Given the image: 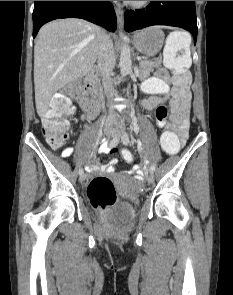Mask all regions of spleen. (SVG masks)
Listing matches in <instances>:
<instances>
[{
	"instance_id": "1",
	"label": "spleen",
	"mask_w": 233,
	"mask_h": 295,
	"mask_svg": "<svg viewBox=\"0 0 233 295\" xmlns=\"http://www.w3.org/2000/svg\"><path fill=\"white\" fill-rule=\"evenodd\" d=\"M191 38L182 31H174L169 34L163 51L166 65L182 71L183 67H188L192 63L190 52ZM184 50L182 56L176 57L177 52Z\"/></svg>"
}]
</instances>
